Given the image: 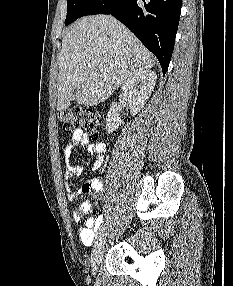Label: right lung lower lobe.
<instances>
[{"label": "right lung lower lobe", "mask_w": 233, "mask_h": 286, "mask_svg": "<svg viewBox=\"0 0 233 286\" xmlns=\"http://www.w3.org/2000/svg\"><path fill=\"white\" fill-rule=\"evenodd\" d=\"M182 0H96L82 16L112 14L158 58L163 75L174 49Z\"/></svg>", "instance_id": "right-lung-lower-lobe-1"}]
</instances>
